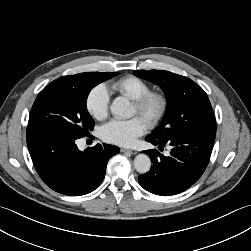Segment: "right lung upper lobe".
<instances>
[{
    "label": "right lung upper lobe",
    "mask_w": 251,
    "mask_h": 251,
    "mask_svg": "<svg viewBox=\"0 0 251 251\" xmlns=\"http://www.w3.org/2000/svg\"><path fill=\"white\" fill-rule=\"evenodd\" d=\"M80 74H76V75H70V76H63L60 77L56 80H54V83H68V82H74L75 80H77L79 78Z\"/></svg>",
    "instance_id": "cb5924a9"
}]
</instances>
